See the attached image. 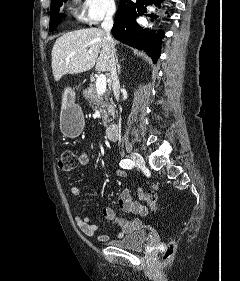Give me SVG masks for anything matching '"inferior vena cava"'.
<instances>
[{
  "instance_id": "1",
  "label": "inferior vena cava",
  "mask_w": 240,
  "mask_h": 281,
  "mask_svg": "<svg viewBox=\"0 0 240 281\" xmlns=\"http://www.w3.org/2000/svg\"><path fill=\"white\" fill-rule=\"evenodd\" d=\"M116 9L114 6L109 7L106 13V17L102 23V28L106 33L107 40L110 44V60H111V79H112V89L114 96L117 100H119L120 95V83L116 71V60H115V48H114V41L111 37L110 31L113 27V15L115 13Z\"/></svg>"
}]
</instances>
